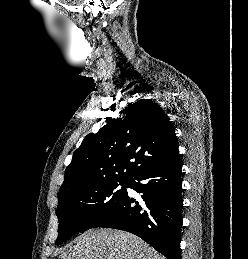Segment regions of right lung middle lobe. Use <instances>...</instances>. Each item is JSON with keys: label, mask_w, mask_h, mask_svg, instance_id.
Instances as JSON below:
<instances>
[{"label": "right lung middle lobe", "mask_w": 248, "mask_h": 259, "mask_svg": "<svg viewBox=\"0 0 248 259\" xmlns=\"http://www.w3.org/2000/svg\"><path fill=\"white\" fill-rule=\"evenodd\" d=\"M129 184L128 180L87 184L58 199L59 234L56 244L60 245L78 231L98 227L110 219L126 195Z\"/></svg>", "instance_id": "right-lung-middle-lobe-1"}]
</instances>
